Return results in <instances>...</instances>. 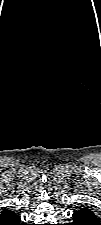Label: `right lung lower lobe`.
<instances>
[{"label":"right lung lower lobe","mask_w":101,"mask_h":225,"mask_svg":"<svg viewBox=\"0 0 101 225\" xmlns=\"http://www.w3.org/2000/svg\"><path fill=\"white\" fill-rule=\"evenodd\" d=\"M14 225H24V224H21V223H20V217H19V220H18L17 223H15Z\"/></svg>","instance_id":"1"}]
</instances>
